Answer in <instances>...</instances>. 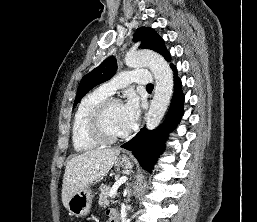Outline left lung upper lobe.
I'll list each match as a JSON object with an SVG mask.
<instances>
[{"mask_svg":"<svg viewBox=\"0 0 257 222\" xmlns=\"http://www.w3.org/2000/svg\"><path fill=\"white\" fill-rule=\"evenodd\" d=\"M135 42L141 40L139 48L150 49L158 52L167 61H170V54L166 50L163 39L152 28L142 27L134 34ZM117 70L116 58L111 56L104 60L98 67L85 75L78 87L74 105L90 91L93 87L109 80Z\"/></svg>","mask_w":257,"mask_h":222,"instance_id":"left-lung-upper-lobe-1","label":"left lung upper lobe"}]
</instances>
